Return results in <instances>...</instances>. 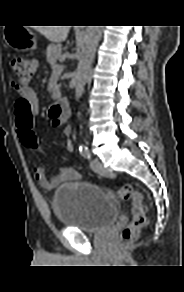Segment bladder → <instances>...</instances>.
<instances>
[{"label": "bladder", "instance_id": "1", "mask_svg": "<svg viewBox=\"0 0 184 292\" xmlns=\"http://www.w3.org/2000/svg\"><path fill=\"white\" fill-rule=\"evenodd\" d=\"M52 208L63 227L92 234L105 231L119 214L117 197L89 183L61 185L54 192Z\"/></svg>", "mask_w": 184, "mask_h": 292}]
</instances>
